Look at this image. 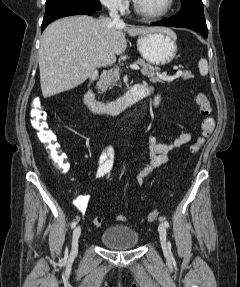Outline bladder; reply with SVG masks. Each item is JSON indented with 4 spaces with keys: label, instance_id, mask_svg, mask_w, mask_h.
Returning <instances> with one entry per match:
<instances>
[{
    "label": "bladder",
    "instance_id": "31cf9c89",
    "mask_svg": "<svg viewBox=\"0 0 240 287\" xmlns=\"http://www.w3.org/2000/svg\"><path fill=\"white\" fill-rule=\"evenodd\" d=\"M100 242L115 250L131 249L138 245L139 235L129 226H111L103 231Z\"/></svg>",
    "mask_w": 240,
    "mask_h": 287
}]
</instances>
